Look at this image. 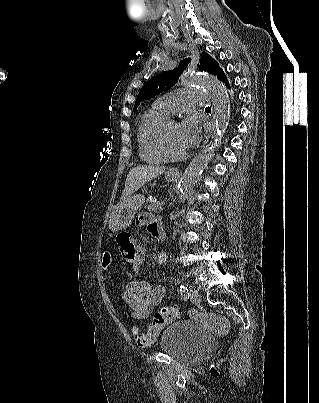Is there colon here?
<instances>
[{"label": "colon", "instance_id": "obj_1", "mask_svg": "<svg viewBox=\"0 0 319 403\" xmlns=\"http://www.w3.org/2000/svg\"><path fill=\"white\" fill-rule=\"evenodd\" d=\"M121 252V249H120ZM124 304L129 308H120V317H129L130 313H148L151 300V282H144L138 275L131 277V282L124 287ZM182 312L178 306H166L158 310L152 323L148 326L147 332H139V326L136 321H131L128 326L130 339L135 341L138 346L148 347L159 336L165 326L180 318Z\"/></svg>", "mask_w": 319, "mask_h": 403}]
</instances>
